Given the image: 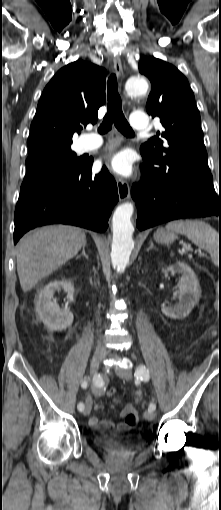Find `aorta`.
I'll list each match as a JSON object with an SVG mask.
<instances>
[{"mask_svg":"<svg viewBox=\"0 0 221 510\" xmlns=\"http://www.w3.org/2000/svg\"><path fill=\"white\" fill-rule=\"evenodd\" d=\"M125 89L130 96H138L147 92L148 82L142 76H132L126 81ZM133 211V204L125 202L120 204L113 214L111 261L117 272L125 270L134 248V227L131 222Z\"/></svg>","mask_w":221,"mask_h":510,"instance_id":"aorta-1","label":"aorta"}]
</instances>
